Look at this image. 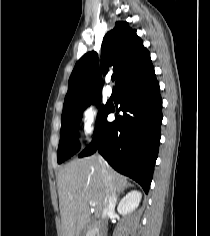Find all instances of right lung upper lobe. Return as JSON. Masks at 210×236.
Returning a JSON list of instances; mask_svg holds the SVG:
<instances>
[{"instance_id": "cb5924a9", "label": "right lung upper lobe", "mask_w": 210, "mask_h": 236, "mask_svg": "<svg viewBox=\"0 0 210 236\" xmlns=\"http://www.w3.org/2000/svg\"><path fill=\"white\" fill-rule=\"evenodd\" d=\"M101 63L103 73L107 71L108 66H114L117 86L150 64L151 59L136 30L131 29L127 22L118 21L103 38ZM98 74L97 53H86L76 63L69 78L62 113L80 108L86 102L100 97L101 81Z\"/></svg>"}]
</instances>
